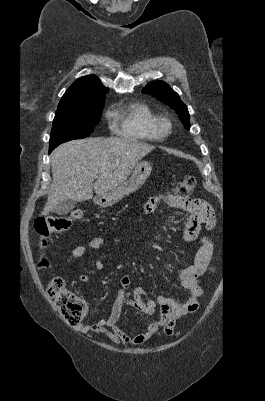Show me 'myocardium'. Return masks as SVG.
Returning a JSON list of instances; mask_svg holds the SVG:
<instances>
[{
    "instance_id": "f54148a6",
    "label": "myocardium",
    "mask_w": 265,
    "mask_h": 401,
    "mask_svg": "<svg viewBox=\"0 0 265 401\" xmlns=\"http://www.w3.org/2000/svg\"><path fill=\"white\" fill-rule=\"evenodd\" d=\"M172 128L170 120L160 118L156 124V133L160 138L167 137L172 133Z\"/></svg>"
}]
</instances>
